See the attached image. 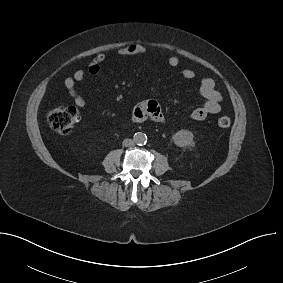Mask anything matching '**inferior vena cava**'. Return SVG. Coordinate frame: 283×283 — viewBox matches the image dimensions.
<instances>
[{"label": "inferior vena cava", "mask_w": 283, "mask_h": 283, "mask_svg": "<svg viewBox=\"0 0 283 283\" xmlns=\"http://www.w3.org/2000/svg\"><path fill=\"white\" fill-rule=\"evenodd\" d=\"M134 140L132 139H124V141L122 142L124 147H130L134 145Z\"/></svg>", "instance_id": "602c4592"}]
</instances>
